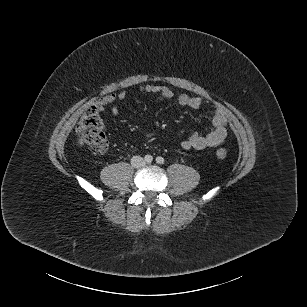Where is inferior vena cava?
Listing matches in <instances>:
<instances>
[{"label": "inferior vena cava", "mask_w": 307, "mask_h": 307, "mask_svg": "<svg viewBox=\"0 0 307 307\" xmlns=\"http://www.w3.org/2000/svg\"><path fill=\"white\" fill-rule=\"evenodd\" d=\"M131 165L134 168H139L140 166H142V158L140 156H133L131 158Z\"/></svg>", "instance_id": "1"}]
</instances>
